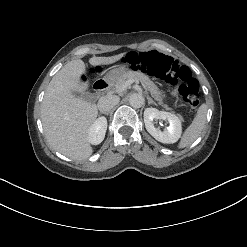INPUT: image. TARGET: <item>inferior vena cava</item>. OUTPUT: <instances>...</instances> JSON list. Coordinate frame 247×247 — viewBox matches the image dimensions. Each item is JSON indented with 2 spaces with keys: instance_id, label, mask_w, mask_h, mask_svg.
I'll return each mask as SVG.
<instances>
[{
  "instance_id": "inferior-vena-cava-1",
  "label": "inferior vena cava",
  "mask_w": 247,
  "mask_h": 247,
  "mask_svg": "<svg viewBox=\"0 0 247 247\" xmlns=\"http://www.w3.org/2000/svg\"><path fill=\"white\" fill-rule=\"evenodd\" d=\"M119 101L120 98L116 95H106L99 99L97 106L101 112H107L117 105Z\"/></svg>"
}]
</instances>
